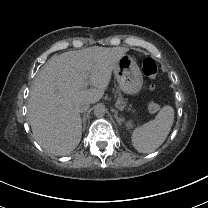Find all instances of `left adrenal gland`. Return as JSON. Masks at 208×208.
Wrapping results in <instances>:
<instances>
[{"label":"left adrenal gland","mask_w":208,"mask_h":208,"mask_svg":"<svg viewBox=\"0 0 208 208\" xmlns=\"http://www.w3.org/2000/svg\"><path fill=\"white\" fill-rule=\"evenodd\" d=\"M111 111L114 112V118L116 119V121L118 123H121L123 121V119L118 117V111L115 109H112Z\"/></svg>","instance_id":"left-adrenal-gland-1"}]
</instances>
